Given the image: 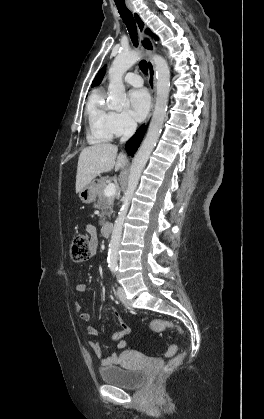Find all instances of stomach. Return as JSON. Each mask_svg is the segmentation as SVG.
<instances>
[{"mask_svg":"<svg viewBox=\"0 0 264 419\" xmlns=\"http://www.w3.org/2000/svg\"><path fill=\"white\" fill-rule=\"evenodd\" d=\"M97 196V184L93 181L85 186L80 192L79 197L85 204H89L95 201Z\"/></svg>","mask_w":264,"mask_h":419,"instance_id":"0dacf381","label":"stomach"}]
</instances>
